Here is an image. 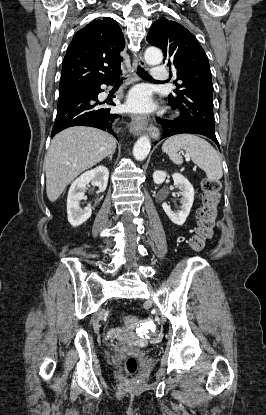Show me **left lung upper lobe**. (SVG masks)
<instances>
[{
	"label": "left lung upper lobe",
	"mask_w": 266,
	"mask_h": 415,
	"mask_svg": "<svg viewBox=\"0 0 266 415\" xmlns=\"http://www.w3.org/2000/svg\"><path fill=\"white\" fill-rule=\"evenodd\" d=\"M146 39L162 49L166 64L180 80L168 96L169 104L181 111L183 120L215 132L211 70L197 39L181 24L166 18L151 26Z\"/></svg>",
	"instance_id": "1"
}]
</instances>
